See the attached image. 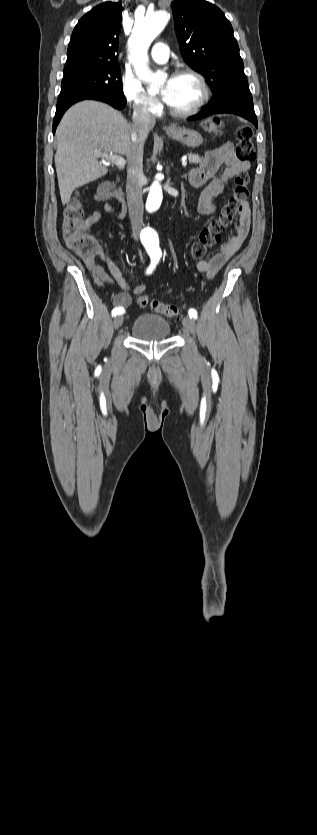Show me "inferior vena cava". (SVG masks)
<instances>
[{"label":"inferior vena cava","mask_w":317,"mask_h":835,"mask_svg":"<svg viewBox=\"0 0 317 835\" xmlns=\"http://www.w3.org/2000/svg\"><path fill=\"white\" fill-rule=\"evenodd\" d=\"M155 118L146 108L136 104L133 111V124L131 130L132 148L127 156V183L126 194L129 210V217L132 226L134 239H138L143 224V200L141 190L144 181L143 174V147L148 132L154 127Z\"/></svg>","instance_id":"inferior-vena-cava-1"}]
</instances>
